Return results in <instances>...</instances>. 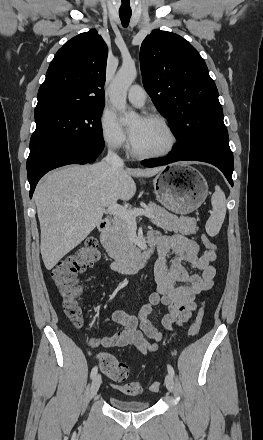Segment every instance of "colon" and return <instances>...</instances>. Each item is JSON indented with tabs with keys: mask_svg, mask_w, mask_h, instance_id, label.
Here are the masks:
<instances>
[{
	"mask_svg": "<svg viewBox=\"0 0 263 440\" xmlns=\"http://www.w3.org/2000/svg\"><path fill=\"white\" fill-rule=\"evenodd\" d=\"M202 242L208 250H216V245L206 236H202ZM99 257L98 241L95 238H88L82 246L58 262L52 270V279L59 290L64 312L75 326H80L83 321L81 306L83 290L78 282V274L94 265ZM200 326V319L197 318L190 326L189 336H196ZM99 365L102 372L115 382L126 380L130 374L128 365L111 354H100ZM121 389L126 394L136 395L140 392L141 386L137 382H129L121 386ZM150 390L158 392L160 383H152Z\"/></svg>",
	"mask_w": 263,
	"mask_h": 440,
	"instance_id": "5ec220e1",
	"label": "colon"
}]
</instances>
